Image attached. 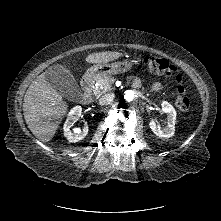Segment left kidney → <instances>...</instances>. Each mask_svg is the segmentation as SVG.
<instances>
[{
    "mask_svg": "<svg viewBox=\"0 0 221 221\" xmlns=\"http://www.w3.org/2000/svg\"><path fill=\"white\" fill-rule=\"evenodd\" d=\"M162 111L167 114V126L161 129L156 125L155 120H151L149 126L153 133L159 137L170 138L174 135L176 111L171 104L162 102Z\"/></svg>",
    "mask_w": 221,
    "mask_h": 221,
    "instance_id": "obj_1",
    "label": "left kidney"
}]
</instances>
